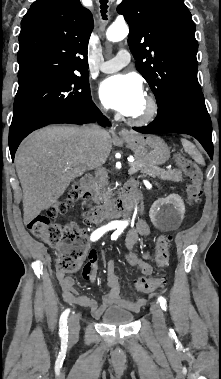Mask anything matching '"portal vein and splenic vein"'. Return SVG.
Returning <instances> with one entry per match:
<instances>
[{"label":"portal vein and splenic vein","instance_id":"1","mask_svg":"<svg viewBox=\"0 0 221 379\" xmlns=\"http://www.w3.org/2000/svg\"><path fill=\"white\" fill-rule=\"evenodd\" d=\"M129 162H130V163H133V162H134V160H129ZM129 171H130V173H133V172L135 171V168H130V170H129Z\"/></svg>","mask_w":221,"mask_h":379}]
</instances>
